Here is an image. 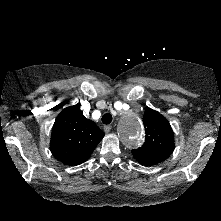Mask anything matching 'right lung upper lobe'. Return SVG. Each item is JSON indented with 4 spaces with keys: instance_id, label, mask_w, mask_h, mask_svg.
<instances>
[{
    "instance_id": "cb5924a9",
    "label": "right lung upper lobe",
    "mask_w": 221,
    "mask_h": 221,
    "mask_svg": "<svg viewBox=\"0 0 221 221\" xmlns=\"http://www.w3.org/2000/svg\"><path fill=\"white\" fill-rule=\"evenodd\" d=\"M104 132L86 119L79 105L65 108L56 118L52 129L50 149L53 156L67 165L85 162Z\"/></svg>"
}]
</instances>
